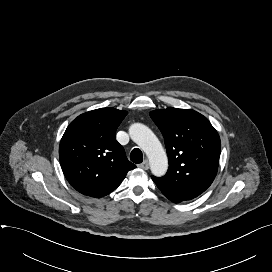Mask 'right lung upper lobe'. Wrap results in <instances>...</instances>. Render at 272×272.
Returning a JSON list of instances; mask_svg holds the SVG:
<instances>
[{
	"instance_id": "obj_1",
	"label": "right lung upper lobe",
	"mask_w": 272,
	"mask_h": 272,
	"mask_svg": "<svg viewBox=\"0 0 272 272\" xmlns=\"http://www.w3.org/2000/svg\"><path fill=\"white\" fill-rule=\"evenodd\" d=\"M127 112L101 108L75 118L59 146L63 173L78 192L103 197L116 189L136 168L117 142L115 132Z\"/></svg>"
}]
</instances>
